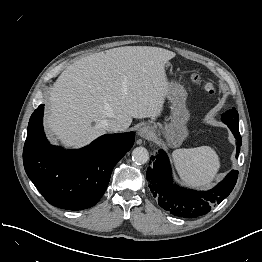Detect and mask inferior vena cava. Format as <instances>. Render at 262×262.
<instances>
[{
    "instance_id": "obj_1",
    "label": "inferior vena cava",
    "mask_w": 262,
    "mask_h": 262,
    "mask_svg": "<svg viewBox=\"0 0 262 262\" xmlns=\"http://www.w3.org/2000/svg\"><path fill=\"white\" fill-rule=\"evenodd\" d=\"M104 127L108 131H113V132L124 131L125 129H127V126L124 123L114 119L106 121L104 123Z\"/></svg>"
}]
</instances>
